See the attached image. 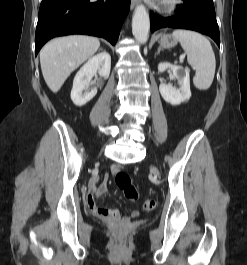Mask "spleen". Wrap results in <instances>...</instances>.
Instances as JSON below:
<instances>
[{
    "label": "spleen",
    "mask_w": 247,
    "mask_h": 265,
    "mask_svg": "<svg viewBox=\"0 0 247 265\" xmlns=\"http://www.w3.org/2000/svg\"><path fill=\"white\" fill-rule=\"evenodd\" d=\"M187 54L188 63L196 70L193 78L199 90L210 88L216 68L215 54L209 40L195 31L175 30L172 34Z\"/></svg>",
    "instance_id": "3e777b00"
}]
</instances>
